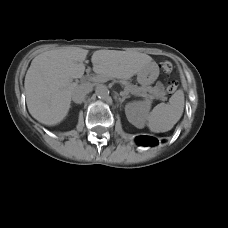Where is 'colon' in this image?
<instances>
[{
    "instance_id": "1",
    "label": "colon",
    "mask_w": 228,
    "mask_h": 228,
    "mask_svg": "<svg viewBox=\"0 0 228 228\" xmlns=\"http://www.w3.org/2000/svg\"><path fill=\"white\" fill-rule=\"evenodd\" d=\"M161 67H162L163 71L167 74L171 73L173 70L172 64L168 61L163 62L161 64ZM176 89H177V85L174 82H171L167 87V91L169 94L174 93L176 91Z\"/></svg>"
}]
</instances>
